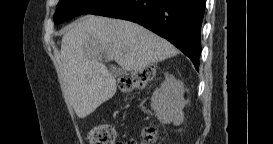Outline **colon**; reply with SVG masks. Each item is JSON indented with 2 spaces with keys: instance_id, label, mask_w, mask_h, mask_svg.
<instances>
[{
  "instance_id": "obj_1",
  "label": "colon",
  "mask_w": 273,
  "mask_h": 144,
  "mask_svg": "<svg viewBox=\"0 0 273 144\" xmlns=\"http://www.w3.org/2000/svg\"><path fill=\"white\" fill-rule=\"evenodd\" d=\"M155 75L153 67L139 69L119 79V87L123 92H132L150 82ZM145 140L149 143L155 142L157 133L152 128L143 131ZM90 144H113L115 142V130L110 125H97L90 129L88 134Z\"/></svg>"
}]
</instances>
